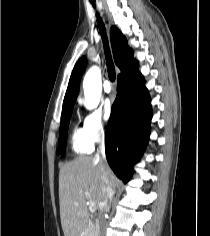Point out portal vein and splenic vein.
<instances>
[{
  "label": "portal vein and splenic vein",
  "mask_w": 210,
  "mask_h": 236,
  "mask_svg": "<svg viewBox=\"0 0 210 236\" xmlns=\"http://www.w3.org/2000/svg\"><path fill=\"white\" fill-rule=\"evenodd\" d=\"M89 209H90V211L94 212L96 210V205L94 203H91L89 205Z\"/></svg>",
  "instance_id": "portal-vein-and-splenic-vein-1"
}]
</instances>
